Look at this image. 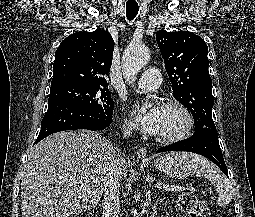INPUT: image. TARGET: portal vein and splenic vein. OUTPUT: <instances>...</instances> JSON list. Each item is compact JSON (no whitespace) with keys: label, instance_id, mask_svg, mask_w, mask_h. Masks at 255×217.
<instances>
[{"label":"portal vein and splenic vein","instance_id":"obj_1","mask_svg":"<svg viewBox=\"0 0 255 217\" xmlns=\"http://www.w3.org/2000/svg\"><path fill=\"white\" fill-rule=\"evenodd\" d=\"M156 188H161L168 191H175V192H181L184 191L185 188L181 186H172V185H156Z\"/></svg>","mask_w":255,"mask_h":217}]
</instances>
